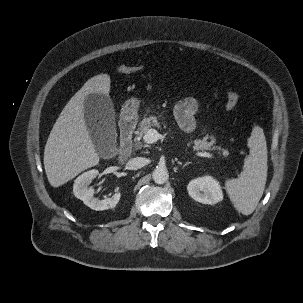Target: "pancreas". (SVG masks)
Instances as JSON below:
<instances>
[{
    "instance_id": "obj_1",
    "label": "pancreas",
    "mask_w": 303,
    "mask_h": 303,
    "mask_svg": "<svg viewBox=\"0 0 303 303\" xmlns=\"http://www.w3.org/2000/svg\"><path fill=\"white\" fill-rule=\"evenodd\" d=\"M151 127H161V122L159 121V118L156 116H149L144 117V119L141 121L139 128L136 131V138L139 140L141 139L144 134L151 128ZM215 143V139H212L210 142L207 141V137H204L201 139H196L194 141H191L189 145L193 144L194 150H216L219 149V147L213 146ZM142 144L138 141L137 142V148H141Z\"/></svg>"
}]
</instances>
